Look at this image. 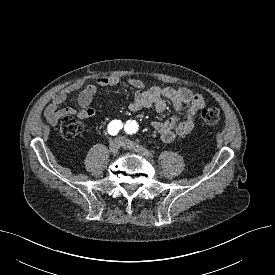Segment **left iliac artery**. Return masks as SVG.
Listing matches in <instances>:
<instances>
[{
	"instance_id": "1",
	"label": "left iliac artery",
	"mask_w": 275,
	"mask_h": 275,
	"mask_svg": "<svg viewBox=\"0 0 275 275\" xmlns=\"http://www.w3.org/2000/svg\"><path fill=\"white\" fill-rule=\"evenodd\" d=\"M124 130L126 133L128 134H133L138 130V126L137 123L135 121H127L125 126H124Z\"/></svg>"
}]
</instances>
